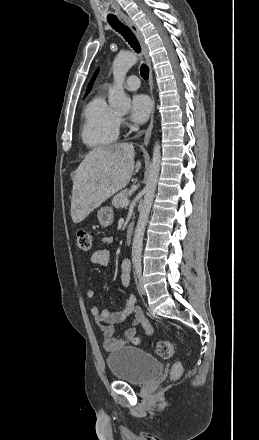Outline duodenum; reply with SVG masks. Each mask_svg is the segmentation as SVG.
Segmentation results:
<instances>
[{
    "mask_svg": "<svg viewBox=\"0 0 259 440\" xmlns=\"http://www.w3.org/2000/svg\"><path fill=\"white\" fill-rule=\"evenodd\" d=\"M132 239H133V226L129 225L126 230L125 241L128 245H130L132 243Z\"/></svg>",
    "mask_w": 259,
    "mask_h": 440,
    "instance_id": "duodenum-1",
    "label": "duodenum"
}]
</instances>
